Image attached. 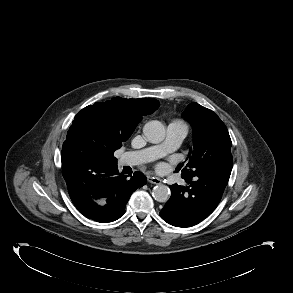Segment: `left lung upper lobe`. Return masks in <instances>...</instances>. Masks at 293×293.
Returning <instances> with one entry per match:
<instances>
[{
	"label": "left lung upper lobe",
	"instance_id": "left-lung-upper-lobe-1",
	"mask_svg": "<svg viewBox=\"0 0 293 293\" xmlns=\"http://www.w3.org/2000/svg\"><path fill=\"white\" fill-rule=\"evenodd\" d=\"M193 127L194 145L186 167L179 164L182 174L196 175L211 172L229 179L233 159L231 139L226 126L212 111L198 103H190L183 112Z\"/></svg>",
	"mask_w": 293,
	"mask_h": 293
}]
</instances>
